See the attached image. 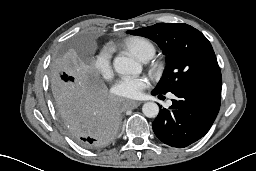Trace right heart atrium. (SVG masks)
<instances>
[{"instance_id":"1","label":"right heart atrium","mask_w":256,"mask_h":171,"mask_svg":"<svg viewBox=\"0 0 256 171\" xmlns=\"http://www.w3.org/2000/svg\"><path fill=\"white\" fill-rule=\"evenodd\" d=\"M93 68L96 73L105 79L112 77L111 54L108 50H103L97 55L93 63Z\"/></svg>"}]
</instances>
